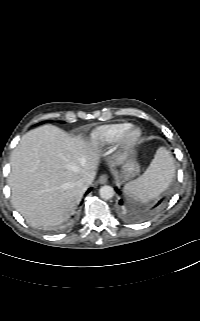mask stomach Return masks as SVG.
<instances>
[{
    "label": "stomach",
    "instance_id": "obj_1",
    "mask_svg": "<svg viewBox=\"0 0 200 321\" xmlns=\"http://www.w3.org/2000/svg\"><path fill=\"white\" fill-rule=\"evenodd\" d=\"M139 172L140 166L137 161L132 157H128L122 165L119 178L123 181H128L137 176Z\"/></svg>",
    "mask_w": 200,
    "mask_h": 321
}]
</instances>
